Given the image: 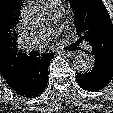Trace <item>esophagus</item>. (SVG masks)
Listing matches in <instances>:
<instances>
[{"label":"esophagus","mask_w":113,"mask_h":113,"mask_svg":"<svg viewBox=\"0 0 113 113\" xmlns=\"http://www.w3.org/2000/svg\"><path fill=\"white\" fill-rule=\"evenodd\" d=\"M60 52L64 53L68 57H73L76 54L75 51H60Z\"/></svg>","instance_id":"34e87169"}]
</instances>
